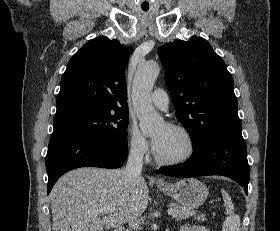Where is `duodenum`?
I'll use <instances>...</instances> for the list:
<instances>
[{
  "mask_svg": "<svg viewBox=\"0 0 280 231\" xmlns=\"http://www.w3.org/2000/svg\"><path fill=\"white\" fill-rule=\"evenodd\" d=\"M125 229L124 228H122V227H118L117 229H116V231H124Z\"/></svg>",
  "mask_w": 280,
  "mask_h": 231,
  "instance_id": "duodenum-1",
  "label": "duodenum"
}]
</instances>
